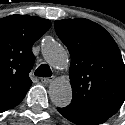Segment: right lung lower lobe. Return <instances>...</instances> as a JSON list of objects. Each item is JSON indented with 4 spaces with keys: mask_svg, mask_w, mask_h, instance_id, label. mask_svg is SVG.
Wrapping results in <instances>:
<instances>
[{
    "mask_svg": "<svg viewBox=\"0 0 125 125\" xmlns=\"http://www.w3.org/2000/svg\"><path fill=\"white\" fill-rule=\"evenodd\" d=\"M22 101V100H21ZM21 101H15L13 103H10V104H6V105H1L0 106V113L1 112H4V111H7L15 106H17Z\"/></svg>",
    "mask_w": 125,
    "mask_h": 125,
    "instance_id": "obj_1",
    "label": "right lung lower lobe"
}]
</instances>
